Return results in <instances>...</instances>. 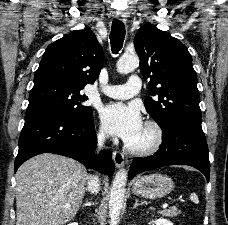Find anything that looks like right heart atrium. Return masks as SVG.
<instances>
[{
	"label": "right heart atrium",
	"instance_id": "right-heart-atrium-1",
	"mask_svg": "<svg viewBox=\"0 0 228 225\" xmlns=\"http://www.w3.org/2000/svg\"><path fill=\"white\" fill-rule=\"evenodd\" d=\"M107 137V134L105 132V130L102 127H99V129L97 130V138L99 140H105Z\"/></svg>",
	"mask_w": 228,
	"mask_h": 225
}]
</instances>
